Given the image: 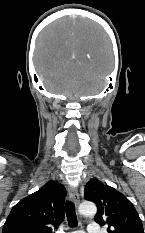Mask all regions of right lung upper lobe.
Listing matches in <instances>:
<instances>
[{"instance_id":"right-lung-upper-lobe-1","label":"right lung upper lobe","mask_w":145,"mask_h":233,"mask_svg":"<svg viewBox=\"0 0 145 233\" xmlns=\"http://www.w3.org/2000/svg\"><path fill=\"white\" fill-rule=\"evenodd\" d=\"M66 189L49 181L11 210L2 233H52L64 220Z\"/></svg>"}]
</instances>
